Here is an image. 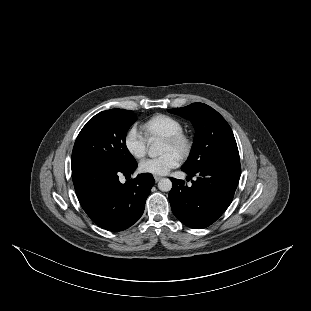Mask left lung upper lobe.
I'll list each match as a JSON object with an SVG mask.
<instances>
[{
    "label": "left lung upper lobe",
    "instance_id": "left-lung-upper-lobe-1",
    "mask_svg": "<svg viewBox=\"0 0 311 311\" xmlns=\"http://www.w3.org/2000/svg\"><path fill=\"white\" fill-rule=\"evenodd\" d=\"M168 112L189 119L195 128L194 143L183 170L194 172L218 162L239 161L232 129L213 108L203 103H193Z\"/></svg>",
    "mask_w": 311,
    "mask_h": 311
}]
</instances>
